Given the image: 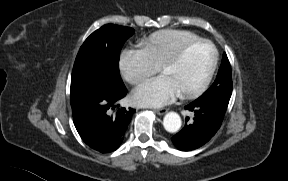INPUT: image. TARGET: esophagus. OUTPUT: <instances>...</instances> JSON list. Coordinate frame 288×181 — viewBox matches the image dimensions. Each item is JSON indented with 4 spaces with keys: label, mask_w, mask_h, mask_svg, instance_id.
<instances>
[{
    "label": "esophagus",
    "mask_w": 288,
    "mask_h": 181,
    "mask_svg": "<svg viewBox=\"0 0 288 181\" xmlns=\"http://www.w3.org/2000/svg\"><path fill=\"white\" fill-rule=\"evenodd\" d=\"M155 113H157L158 115H163L167 112L166 108H161V109H156L154 110Z\"/></svg>",
    "instance_id": "1"
}]
</instances>
